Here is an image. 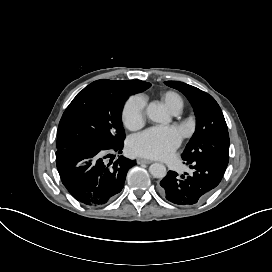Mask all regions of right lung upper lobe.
I'll use <instances>...</instances> for the list:
<instances>
[{
  "mask_svg": "<svg viewBox=\"0 0 272 272\" xmlns=\"http://www.w3.org/2000/svg\"><path fill=\"white\" fill-rule=\"evenodd\" d=\"M133 80H124V81H116V80H106L101 79L94 81L91 83V86H125L129 85Z\"/></svg>",
  "mask_w": 272,
  "mask_h": 272,
  "instance_id": "obj_1",
  "label": "right lung upper lobe"
}]
</instances>
